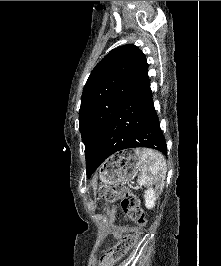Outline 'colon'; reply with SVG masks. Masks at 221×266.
<instances>
[{"label":"colon","mask_w":221,"mask_h":266,"mask_svg":"<svg viewBox=\"0 0 221 266\" xmlns=\"http://www.w3.org/2000/svg\"><path fill=\"white\" fill-rule=\"evenodd\" d=\"M99 195L108 203L119 199L125 219L140 229L145 228L147 220L144 211L140 208L137 198L133 194L125 192L122 185L102 186L99 189ZM138 234V232H134L124 235L102 256L100 266H112L119 261L135 244Z\"/></svg>","instance_id":"5ec220e1"}]
</instances>
